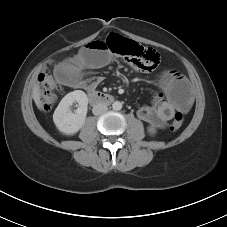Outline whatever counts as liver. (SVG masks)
<instances>
[{
  "label": "liver",
  "instance_id": "obj_1",
  "mask_svg": "<svg viewBox=\"0 0 227 227\" xmlns=\"http://www.w3.org/2000/svg\"><path fill=\"white\" fill-rule=\"evenodd\" d=\"M32 97L35 101L38 108H42V102H41V93L38 84H36L32 91Z\"/></svg>",
  "mask_w": 227,
  "mask_h": 227
}]
</instances>
